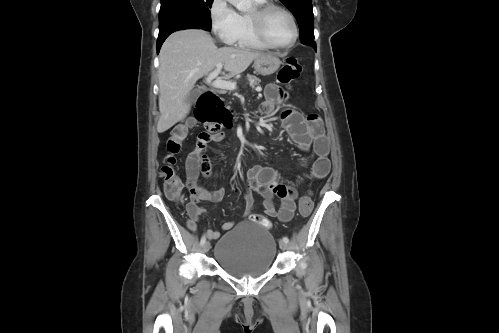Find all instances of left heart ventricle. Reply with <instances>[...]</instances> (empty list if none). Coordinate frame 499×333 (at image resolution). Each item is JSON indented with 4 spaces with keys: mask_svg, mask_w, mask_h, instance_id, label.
Masks as SVG:
<instances>
[{
    "mask_svg": "<svg viewBox=\"0 0 499 333\" xmlns=\"http://www.w3.org/2000/svg\"><path fill=\"white\" fill-rule=\"evenodd\" d=\"M265 31L271 42L283 45L293 36V28L288 16L279 10L271 11L264 23Z\"/></svg>",
    "mask_w": 499,
    "mask_h": 333,
    "instance_id": "b2bd125f",
    "label": "left heart ventricle"
}]
</instances>
